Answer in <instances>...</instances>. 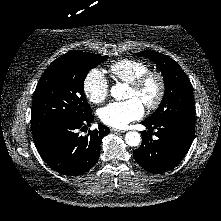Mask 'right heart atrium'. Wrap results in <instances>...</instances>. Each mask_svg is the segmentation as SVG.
Masks as SVG:
<instances>
[{
  "label": "right heart atrium",
  "instance_id": "right-heart-atrium-1",
  "mask_svg": "<svg viewBox=\"0 0 221 221\" xmlns=\"http://www.w3.org/2000/svg\"><path fill=\"white\" fill-rule=\"evenodd\" d=\"M83 91L87 99L93 104H100L109 94V82L100 69L90 70L83 81Z\"/></svg>",
  "mask_w": 221,
  "mask_h": 221
}]
</instances>
